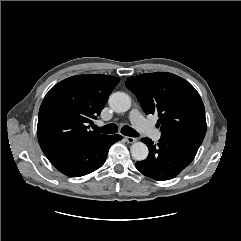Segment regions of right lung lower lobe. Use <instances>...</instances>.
Returning <instances> with one entry per match:
<instances>
[{"instance_id": "1", "label": "right lung lower lobe", "mask_w": 241, "mask_h": 241, "mask_svg": "<svg viewBox=\"0 0 241 241\" xmlns=\"http://www.w3.org/2000/svg\"><path fill=\"white\" fill-rule=\"evenodd\" d=\"M121 139L120 135H103L87 143L55 150L46 157L64 175L80 177L100 168L109 148Z\"/></svg>"}]
</instances>
